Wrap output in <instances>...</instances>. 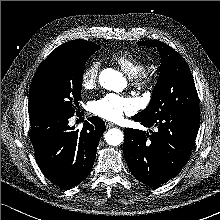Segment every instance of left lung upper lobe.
I'll return each instance as SVG.
<instances>
[{"mask_svg": "<svg viewBox=\"0 0 220 220\" xmlns=\"http://www.w3.org/2000/svg\"><path fill=\"white\" fill-rule=\"evenodd\" d=\"M139 46L157 48L161 55L160 74L149 105L136 114L153 119L173 111L199 113V100L185 59L158 40L139 41Z\"/></svg>", "mask_w": 220, "mask_h": 220, "instance_id": "1", "label": "left lung upper lobe"}]
</instances>
